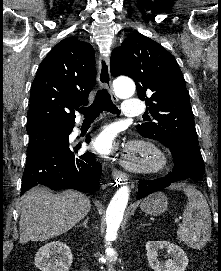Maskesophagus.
I'll list each match as a JSON object with an SVG mask.
<instances>
[{"label": "esophagus", "mask_w": 221, "mask_h": 271, "mask_svg": "<svg viewBox=\"0 0 221 271\" xmlns=\"http://www.w3.org/2000/svg\"><path fill=\"white\" fill-rule=\"evenodd\" d=\"M98 81L102 87L111 91V72L109 57L101 55L98 62ZM111 95L114 101H118L117 97L111 91ZM112 175L115 178H119L123 182H126L128 177L126 173L113 169Z\"/></svg>", "instance_id": "1"}]
</instances>
